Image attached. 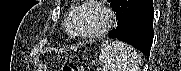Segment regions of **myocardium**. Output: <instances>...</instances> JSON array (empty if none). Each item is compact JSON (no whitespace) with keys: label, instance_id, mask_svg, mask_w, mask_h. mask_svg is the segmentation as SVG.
<instances>
[{"label":"myocardium","instance_id":"1","mask_svg":"<svg viewBox=\"0 0 181 71\" xmlns=\"http://www.w3.org/2000/svg\"><path fill=\"white\" fill-rule=\"evenodd\" d=\"M88 7H94L98 9L103 14L105 21H104V24L96 31L91 32V33H81L78 30L79 18L82 11ZM113 23H114L113 13L111 9L108 6H106V4L103 1L89 0V1L82 2L79 6L76 7V10L70 22L69 28H70L72 37L77 38V39L91 40V39L98 38L104 35L106 32H108L110 28L112 27Z\"/></svg>","mask_w":181,"mask_h":71}]
</instances>
